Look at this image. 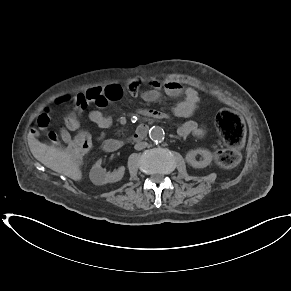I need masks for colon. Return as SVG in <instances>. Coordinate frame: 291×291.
Masks as SVG:
<instances>
[{"label":"colon","mask_w":291,"mask_h":291,"mask_svg":"<svg viewBox=\"0 0 291 291\" xmlns=\"http://www.w3.org/2000/svg\"><path fill=\"white\" fill-rule=\"evenodd\" d=\"M56 105L59 107L76 105V96L73 94H66L57 99L56 103L46 102L45 110L55 111ZM65 124L73 130L78 129V125L75 123L74 117L66 118ZM216 125L221 137L228 145V148L221 149L216 152V161L221 166H232L236 164L239 159L238 147L242 145L245 137V125L238 114L228 109L220 110L217 113ZM47 136L50 140L57 138V134L53 130H49L47 132ZM68 145L71 153L75 157H80L90 148L91 138L87 132L77 130Z\"/></svg>","instance_id":"colon-1"}]
</instances>
